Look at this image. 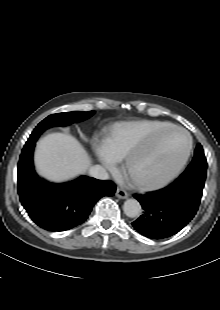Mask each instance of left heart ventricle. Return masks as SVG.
<instances>
[{
    "label": "left heart ventricle",
    "mask_w": 220,
    "mask_h": 310,
    "mask_svg": "<svg viewBox=\"0 0 220 310\" xmlns=\"http://www.w3.org/2000/svg\"><path fill=\"white\" fill-rule=\"evenodd\" d=\"M188 147L187 136L177 130H167L155 142L150 152L139 156L133 163L135 176L157 181L170 174L180 163Z\"/></svg>",
    "instance_id": "obj_1"
}]
</instances>
